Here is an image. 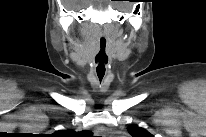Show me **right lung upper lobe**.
Instances as JSON below:
<instances>
[{
  "instance_id": "obj_1",
  "label": "right lung upper lobe",
  "mask_w": 206,
  "mask_h": 137,
  "mask_svg": "<svg viewBox=\"0 0 206 137\" xmlns=\"http://www.w3.org/2000/svg\"><path fill=\"white\" fill-rule=\"evenodd\" d=\"M74 131L72 130H62V131H57L55 133L56 136H61V137H67L70 136Z\"/></svg>"
}]
</instances>
